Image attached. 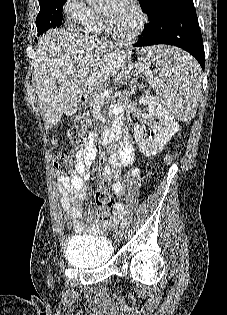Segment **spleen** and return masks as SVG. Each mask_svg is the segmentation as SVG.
Instances as JSON below:
<instances>
[{
  "label": "spleen",
  "mask_w": 227,
  "mask_h": 315,
  "mask_svg": "<svg viewBox=\"0 0 227 315\" xmlns=\"http://www.w3.org/2000/svg\"><path fill=\"white\" fill-rule=\"evenodd\" d=\"M147 56L163 76L155 85L160 87L158 100L161 105L176 120L187 122L194 118L202 86L198 63L174 47H152L147 50Z\"/></svg>",
  "instance_id": "1"
}]
</instances>
